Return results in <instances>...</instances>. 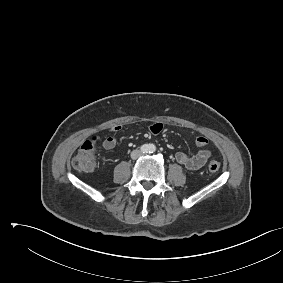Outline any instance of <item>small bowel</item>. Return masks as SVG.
I'll list each match as a JSON object with an SVG mask.
<instances>
[{
    "label": "small bowel",
    "mask_w": 283,
    "mask_h": 283,
    "mask_svg": "<svg viewBox=\"0 0 283 283\" xmlns=\"http://www.w3.org/2000/svg\"><path fill=\"white\" fill-rule=\"evenodd\" d=\"M121 128L119 126H115L111 128V131L118 132ZM162 130L161 123H154L150 126V131L154 134L159 133ZM96 143L99 138L94 137ZM117 144V139L113 136H109L102 141V147L106 150L113 149ZM208 145V141L204 137H198L196 139V146L198 147V151L195 154H188L182 151H179L175 154L176 161L183 165L188 170H198L204 166V164L209 159L211 152L206 148Z\"/></svg>",
    "instance_id": "c3829d8e"
}]
</instances>
